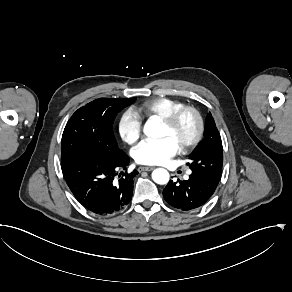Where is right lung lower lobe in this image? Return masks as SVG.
<instances>
[{
  "label": "right lung lower lobe",
  "instance_id": "98d812e1",
  "mask_svg": "<svg viewBox=\"0 0 292 292\" xmlns=\"http://www.w3.org/2000/svg\"><path fill=\"white\" fill-rule=\"evenodd\" d=\"M129 157L107 159L84 152L61 155V168L65 181L75 198L97 215H110L124 209L131 201L133 178L137 170L121 176L117 170L126 169Z\"/></svg>",
  "mask_w": 292,
  "mask_h": 292
}]
</instances>
